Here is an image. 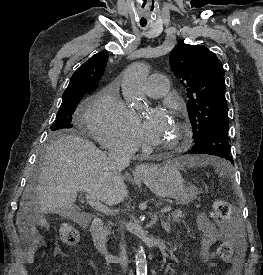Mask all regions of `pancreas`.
Returning a JSON list of instances; mask_svg holds the SVG:
<instances>
[{"mask_svg":"<svg viewBox=\"0 0 263 275\" xmlns=\"http://www.w3.org/2000/svg\"><path fill=\"white\" fill-rule=\"evenodd\" d=\"M169 216L172 217L174 221L179 222L180 218L185 217V214H183V212L181 210H175ZM109 225H112V223H110ZM108 233L109 234L111 233L110 230H108Z\"/></svg>","mask_w":263,"mask_h":275,"instance_id":"1","label":"pancreas"}]
</instances>
